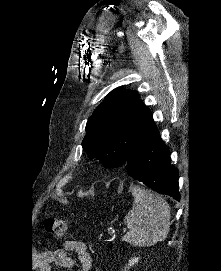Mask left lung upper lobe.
Here are the masks:
<instances>
[{
	"label": "left lung upper lobe",
	"mask_w": 221,
	"mask_h": 271,
	"mask_svg": "<svg viewBox=\"0 0 221 271\" xmlns=\"http://www.w3.org/2000/svg\"><path fill=\"white\" fill-rule=\"evenodd\" d=\"M155 129L151 112L138 93L116 88L87 121L82 146L106 167H119L126 164L132 150Z\"/></svg>",
	"instance_id": "1"
}]
</instances>
